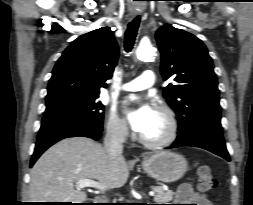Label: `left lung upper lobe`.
Here are the masks:
<instances>
[{
	"instance_id": "obj_1",
	"label": "left lung upper lobe",
	"mask_w": 253,
	"mask_h": 205,
	"mask_svg": "<svg viewBox=\"0 0 253 205\" xmlns=\"http://www.w3.org/2000/svg\"><path fill=\"white\" fill-rule=\"evenodd\" d=\"M161 51V74L174 84L163 96L177 114L178 138L189 137L203 124L221 126V107L214 66L206 46L193 34L171 25L156 32Z\"/></svg>"
}]
</instances>
